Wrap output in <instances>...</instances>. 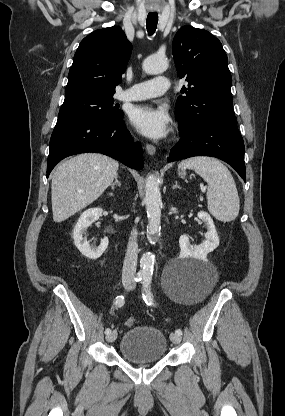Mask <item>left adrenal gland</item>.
<instances>
[{
  "label": "left adrenal gland",
  "instance_id": "left-adrenal-gland-1",
  "mask_svg": "<svg viewBox=\"0 0 285 416\" xmlns=\"http://www.w3.org/2000/svg\"><path fill=\"white\" fill-rule=\"evenodd\" d=\"M175 188H178V190H181L180 186H178V182H175V186H173V190H175Z\"/></svg>",
  "mask_w": 285,
  "mask_h": 416
}]
</instances>
